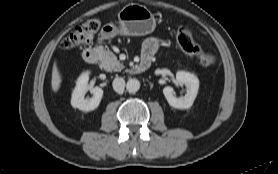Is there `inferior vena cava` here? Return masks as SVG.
I'll list each match as a JSON object with an SVG mask.
<instances>
[{"mask_svg":"<svg viewBox=\"0 0 278 174\" xmlns=\"http://www.w3.org/2000/svg\"><path fill=\"white\" fill-rule=\"evenodd\" d=\"M113 89L118 92L122 93L125 88V80L123 78L117 77L113 80Z\"/></svg>","mask_w":278,"mask_h":174,"instance_id":"obj_1","label":"inferior vena cava"}]
</instances>
